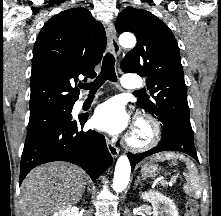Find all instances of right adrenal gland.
<instances>
[{
  "label": "right adrenal gland",
  "mask_w": 221,
  "mask_h": 216,
  "mask_svg": "<svg viewBox=\"0 0 221 216\" xmlns=\"http://www.w3.org/2000/svg\"><path fill=\"white\" fill-rule=\"evenodd\" d=\"M87 191H90L89 187L87 186Z\"/></svg>",
  "instance_id": "2a0ac1e0"
}]
</instances>
